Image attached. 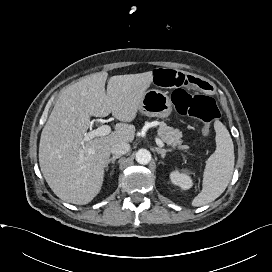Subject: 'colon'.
Segmentation results:
<instances>
[{"label": "colon", "mask_w": 272, "mask_h": 272, "mask_svg": "<svg viewBox=\"0 0 272 272\" xmlns=\"http://www.w3.org/2000/svg\"><path fill=\"white\" fill-rule=\"evenodd\" d=\"M171 97L178 113L200 120L203 133L205 135L210 133L211 123L220 115L213 98L206 95L190 94L180 88L175 89Z\"/></svg>", "instance_id": "5ec220e1"}]
</instances>
